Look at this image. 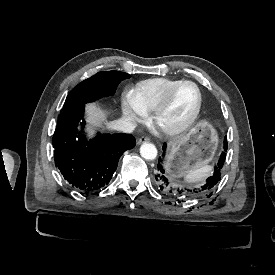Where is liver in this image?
Here are the masks:
<instances>
[{"label":"liver","mask_w":275,"mask_h":275,"mask_svg":"<svg viewBox=\"0 0 275 275\" xmlns=\"http://www.w3.org/2000/svg\"><path fill=\"white\" fill-rule=\"evenodd\" d=\"M87 112L89 115V121L94 125H100L101 121H103L111 126V123L107 122L105 114L97 105H89Z\"/></svg>","instance_id":"obj_1"}]
</instances>
